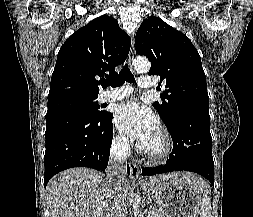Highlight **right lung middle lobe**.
Here are the masks:
<instances>
[{
  "mask_svg": "<svg viewBox=\"0 0 253 217\" xmlns=\"http://www.w3.org/2000/svg\"><path fill=\"white\" fill-rule=\"evenodd\" d=\"M97 97H70L48 102L46 119L70 112H81L93 116H101L106 111L100 110Z\"/></svg>",
  "mask_w": 253,
  "mask_h": 217,
  "instance_id": "1",
  "label": "right lung middle lobe"
}]
</instances>
